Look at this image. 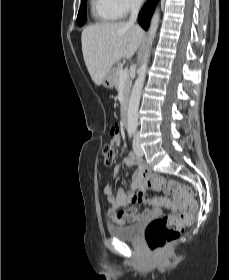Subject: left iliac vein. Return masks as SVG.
Returning <instances> with one entry per match:
<instances>
[{
    "instance_id": "1",
    "label": "left iliac vein",
    "mask_w": 229,
    "mask_h": 280,
    "mask_svg": "<svg viewBox=\"0 0 229 280\" xmlns=\"http://www.w3.org/2000/svg\"><path fill=\"white\" fill-rule=\"evenodd\" d=\"M133 150H134V153L138 156H142L143 155V150L140 146V141H139V138L136 137L134 139V142H133Z\"/></svg>"
}]
</instances>
